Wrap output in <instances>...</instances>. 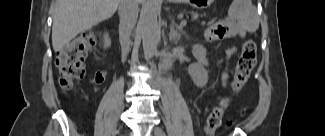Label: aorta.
<instances>
[{"label": "aorta", "mask_w": 325, "mask_h": 136, "mask_svg": "<svg viewBox=\"0 0 325 136\" xmlns=\"http://www.w3.org/2000/svg\"><path fill=\"white\" fill-rule=\"evenodd\" d=\"M141 37L146 60L151 59L157 51L159 37L158 6L156 0H147L141 16Z\"/></svg>", "instance_id": "aorta-1"}]
</instances>
